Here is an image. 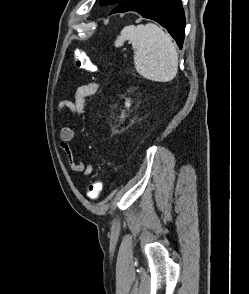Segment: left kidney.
Returning <instances> with one entry per match:
<instances>
[{
  "label": "left kidney",
  "instance_id": "5707ae66",
  "mask_svg": "<svg viewBox=\"0 0 249 294\" xmlns=\"http://www.w3.org/2000/svg\"><path fill=\"white\" fill-rule=\"evenodd\" d=\"M125 105H126V107H127V108H129V107H130V105H131L130 101H129V100H127V101L125 102ZM122 116H123V115H122Z\"/></svg>",
  "mask_w": 249,
  "mask_h": 294
}]
</instances>
